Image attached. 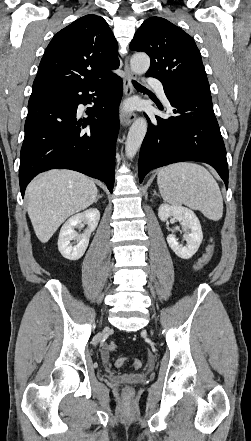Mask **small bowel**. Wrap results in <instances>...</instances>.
Instances as JSON below:
<instances>
[{
	"label": "small bowel",
	"mask_w": 251,
	"mask_h": 441,
	"mask_svg": "<svg viewBox=\"0 0 251 441\" xmlns=\"http://www.w3.org/2000/svg\"><path fill=\"white\" fill-rule=\"evenodd\" d=\"M102 356H103V359H107V353L106 352H103Z\"/></svg>",
	"instance_id": "obj_1"
}]
</instances>
